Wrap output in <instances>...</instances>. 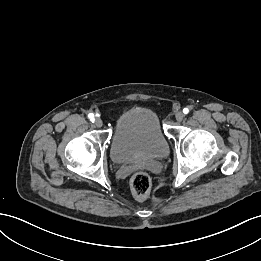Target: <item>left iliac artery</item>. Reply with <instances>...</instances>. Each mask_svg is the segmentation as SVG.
<instances>
[{
  "mask_svg": "<svg viewBox=\"0 0 261 261\" xmlns=\"http://www.w3.org/2000/svg\"><path fill=\"white\" fill-rule=\"evenodd\" d=\"M188 112H189V109H188V108H184V109H183V113H184V114H188Z\"/></svg>",
  "mask_w": 261,
  "mask_h": 261,
  "instance_id": "obj_1",
  "label": "left iliac artery"
}]
</instances>
